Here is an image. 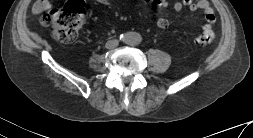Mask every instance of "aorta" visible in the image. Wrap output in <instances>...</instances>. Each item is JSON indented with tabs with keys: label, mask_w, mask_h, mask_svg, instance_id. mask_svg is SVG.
I'll return each instance as SVG.
<instances>
[{
	"label": "aorta",
	"mask_w": 253,
	"mask_h": 138,
	"mask_svg": "<svg viewBox=\"0 0 253 138\" xmlns=\"http://www.w3.org/2000/svg\"><path fill=\"white\" fill-rule=\"evenodd\" d=\"M123 41L129 45H138L142 41V37L138 32H127L123 36Z\"/></svg>",
	"instance_id": "762f6f07"
}]
</instances>
